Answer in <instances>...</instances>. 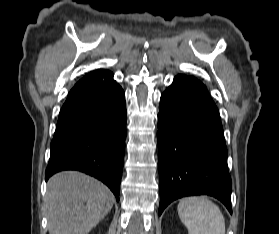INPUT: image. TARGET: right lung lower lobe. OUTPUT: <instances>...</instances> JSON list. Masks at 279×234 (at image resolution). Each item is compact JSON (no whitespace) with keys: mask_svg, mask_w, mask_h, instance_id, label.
I'll use <instances>...</instances> for the list:
<instances>
[{"mask_svg":"<svg viewBox=\"0 0 279 234\" xmlns=\"http://www.w3.org/2000/svg\"><path fill=\"white\" fill-rule=\"evenodd\" d=\"M126 138L125 94L108 70L88 73L70 90L51 142L46 181L78 170L104 182L119 201Z\"/></svg>","mask_w":279,"mask_h":234,"instance_id":"1","label":"right lung lower lobe"}]
</instances>
